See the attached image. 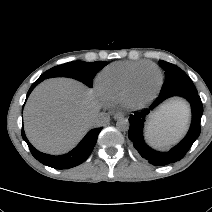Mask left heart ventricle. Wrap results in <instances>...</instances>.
Masks as SVG:
<instances>
[{
    "mask_svg": "<svg viewBox=\"0 0 212 212\" xmlns=\"http://www.w3.org/2000/svg\"><path fill=\"white\" fill-rule=\"evenodd\" d=\"M158 82V74L154 69H146L140 78L139 95L150 92Z\"/></svg>",
    "mask_w": 212,
    "mask_h": 212,
    "instance_id": "1",
    "label": "left heart ventricle"
}]
</instances>
